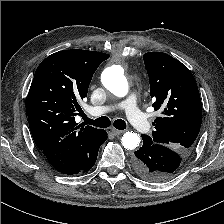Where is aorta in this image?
I'll return each mask as SVG.
<instances>
[{
  "label": "aorta",
  "instance_id": "obj_1",
  "mask_svg": "<svg viewBox=\"0 0 224 224\" xmlns=\"http://www.w3.org/2000/svg\"><path fill=\"white\" fill-rule=\"evenodd\" d=\"M102 84L117 97H125L129 85L121 66L114 65L106 68L101 75ZM122 146L127 150L136 149L140 144V136L135 132L124 133L121 139Z\"/></svg>",
  "mask_w": 224,
  "mask_h": 224
}]
</instances>
